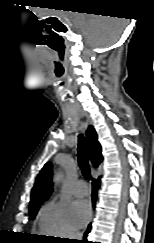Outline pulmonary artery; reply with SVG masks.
I'll return each mask as SVG.
<instances>
[{
    "label": "pulmonary artery",
    "mask_w": 154,
    "mask_h": 243,
    "mask_svg": "<svg viewBox=\"0 0 154 243\" xmlns=\"http://www.w3.org/2000/svg\"><path fill=\"white\" fill-rule=\"evenodd\" d=\"M88 192H89V188L86 185L85 181L83 180H79L73 189V194L75 196H84L88 194Z\"/></svg>",
    "instance_id": "pulmonary-artery-1"
}]
</instances>
